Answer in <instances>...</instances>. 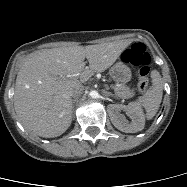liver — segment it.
Wrapping results in <instances>:
<instances>
[{
    "label": "liver",
    "mask_w": 187,
    "mask_h": 187,
    "mask_svg": "<svg viewBox=\"0 0 187 187\" xmlns=\"http://www.w3.org/2000/svg\"><path fill=\"white\" fill-rule=\"evenodd\" d=\"M130 43L74 45L30 54L17 74L14 93L15 111L23 126L42 137L63 134L72 122V89L107 70ZM73 74L78 77H60Z\"/></svg>",
    "instance_id": "liver-1"
}]
</instances>
